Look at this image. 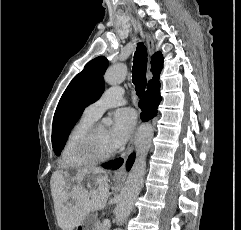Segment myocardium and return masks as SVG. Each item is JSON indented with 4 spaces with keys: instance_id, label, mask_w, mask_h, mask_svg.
Wrapping results in <instances>:
<instances>
[{
    "instance_id": "f54148a6",
    "label": "myocardium",
    "mask_w": 241,
    "mask_h": 230,
    "mask_svg": "<svg viewBox=\"0 0 241 230\" xmlns=\"http://www.w3.org/2000/svg\"><path fill=\"white\" fill-rule=\"evenodd\" d=\"M98 123H93L81 136L77 145L79 156L88 163L99 162L113 155V150L99 151L95 144Z\"/></svg>"
}]
</instances>
